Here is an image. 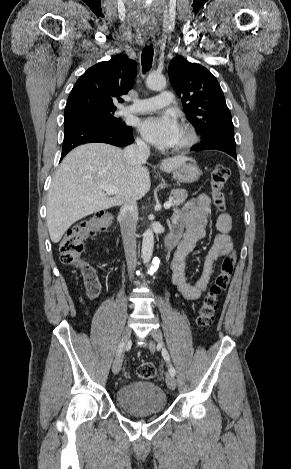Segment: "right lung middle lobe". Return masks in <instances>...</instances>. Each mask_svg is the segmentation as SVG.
<instances>
[{"instance_id":"dd1d6c3e","label":"right lung middle lobe","mask_w":291,"mask_h":469,"mask_svg":"<svg viewBox=\"0 0 291 469\" xmlns=\"http://www.w3.org/2000/svg\"><path fill=\"white\" fill-rule=\"evenodd\" d=\"M116 109H93L72 114L64 115V126L79 123L88 122L96 123L106 126H124L120 119L114 117Z\"/></svg>"}]
</instances>
